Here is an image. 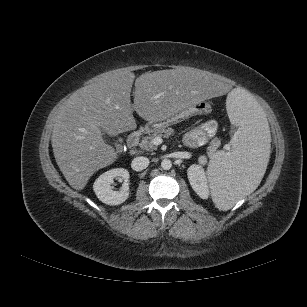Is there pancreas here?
Instances as JSON below:
<instances>
[{"instance_id": "1", "label": "pancreas", "mask_w": 307, "mask_h": 307, "mask_svg": "<svg viewBox=\"0 0 307 307\" xmlns=\"http://www.w3.org/2000/svg\"><path fill=\"white\" fill-rule=\"evenodd\" d=\"M174 134V130L172 128H161L153 133H149L147 136L142 137L139 146L144 150H155L157 147L154 144L153 140L156 137H170ZM216 146H218V142H212L211 146L207 148V153L209 156H213Z\"/></svg>"}]
</instances>
